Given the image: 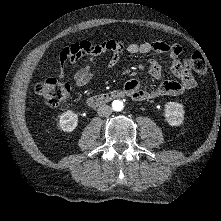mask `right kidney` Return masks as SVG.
Segmentation results:
<instances>
[{
  "instance_id": "1",
  "label": "right kidney",
  "mask_w": 221,
  "mask_h": 221,
  "mask_svg": "<svg viewBox=\"0 0 221 221\" xmlns=\"http://www.w3.org/2000/svg\"><path fill=\"white\" fill-rule=\"evenodd\" d=\"M58 124L64 132H72L78 125V115L68 110L59 116Z\"/></svg>"
}]
</instances>
